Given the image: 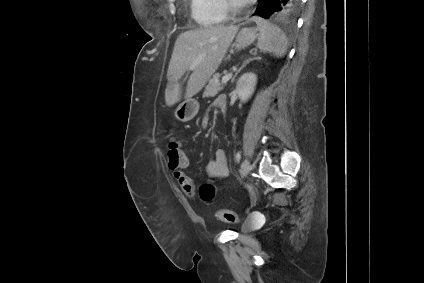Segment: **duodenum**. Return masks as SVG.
Returning a JSON list of instances; mask_svg holds the SVG:
<instances>
[{"instance_id": "410a0bca", "label": "duodenum", "mask_w": 424, "mask_h": 283, "mask_svg": "<svg viewBox=\"0 0 424 283\" xmlns=\"http://www.w3.org/2000/svg\"><path fill=\"white\" fill-rule=\"evenodd\" d=\"M219 107H220V109H221L223 112H225V111H226L227 104H226V99H225V98H223V99L220 101V103H219Z\"/></svg>"}]
</instances>
